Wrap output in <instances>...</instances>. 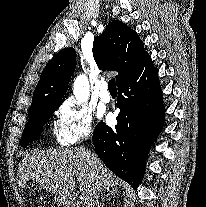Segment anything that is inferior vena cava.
Wrapping results in <instances>:
<instances>
[{"label":"inferior vena cava","mask_w":206,"mask_h":207,"mask_svg":"<svg viewBox=\"0 0 206 207\" xmlns=\"http://www.w3.org/2000/svg\"><path fill=\"white\" fill-rule=\"evenodd\" d=\"M87 153H88V156H89L91 162H94V157H95L94 153L91 152L90 149L87 150ZM100 192H101L100 187H97V189H96L92 199H90V201H88V207H99V204H100V202H99Z\"/></svg>","instance_id":"1"}]
</instances>
